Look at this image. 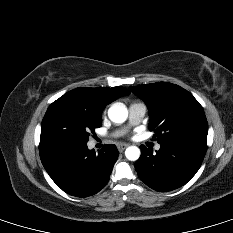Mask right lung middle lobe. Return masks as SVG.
Returning a JSON list of instances; mask_svg holds the SVG:
<instances>
[{"mask_svg":"<svg viewBox=\"0 0 233 233\" xmlns=\"http://www.w3.org/2000/svg\"><path fill=\"white\" fill-rule=\"evenodd\" d=\"M101 124V114L91 112L64 94L48 107L41 124L40 141L87 143L90 133Z\"/></svg>","mask_w":233,"mask_h":233,"instance_id":"right-lung-middle-lobe-1","label":"right lung middle lobe"}]
</instances>
